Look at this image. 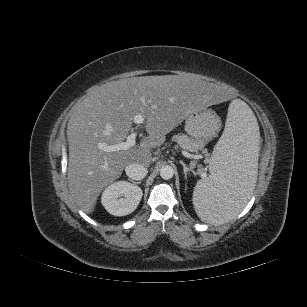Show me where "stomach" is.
<instances>
[{"mask_svg":"<svg viewBox=\"0 0 307 307\" xmlns=\"http://www.w3.org/2000/svg\"><path fill=\"white\" fill-rule=\"evenodd\" d=\"M221 126L219 116L211 110L195 111L185 119V131L195 139L210 141Z\"/></svg>","mask_w":307,"mask_h":307,"instance_id":"stomach-1","label":"stomach"}]
</instances>
